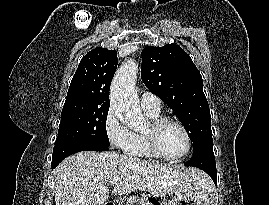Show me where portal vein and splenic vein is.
<instances>
[{
  "instance_id": "obj_1",
  "label": "portal vein and splenic vein",
  "mask_w": 269,
  "mask_h": 205,
  "mask_svg": "<svg viewBox=\"0 0 269 205\" xmlns=\"http://www.w3.org/2000/svg\"><path fill=\"white\" fill-rule=\"evenodd\" d=\"M121 179L120 178H113L109 181L110 184L114 185V184H117Z\"/></svg>"
}]
</instances>
